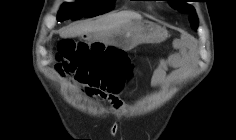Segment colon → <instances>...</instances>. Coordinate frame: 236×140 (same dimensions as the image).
Masks as SVG:
<instances>
[{"label":"colon","mask_w":236,"mask_h":140,"mask_svg":"<svg viewBox=\"0 0 236 140\" xmlns=\"http://www.w3.org/2000/svg\"><path fill=\"white\" fill-rule=\"evenodd\" d=\"M56 70L73 76L93 95L110 101L116 98L131 73L127 54L101 43L66 39L58 45Z\"/></svg>","instance_id":"1"}]
</instances>
